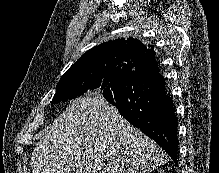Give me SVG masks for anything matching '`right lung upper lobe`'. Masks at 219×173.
Wrapping results in <instances>:
<instances>
[{"label":"right lung upper lobe","instance_id":"1","mask_svg":"<svg viewBox=\"0 0 219 173\" xmlns=\"http://www.w3.org/2000/svg\"><path fill=\"white\" fill-rule=\"evenodd\" d=\"M149 47L151 48L134 38L110 40L84 53L67 72L98 67L110 62L129 64L135 69L146 62L156 61L155 51L152 46Z\"/></svg>","mask_w":219,"mask_h":173}]
</instances>
